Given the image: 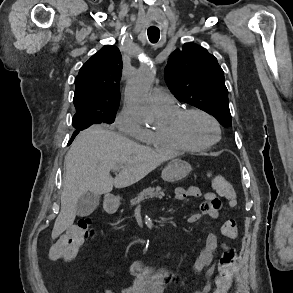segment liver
<instances>
[{"mask_svg":"<svg viewBox=\"0 0 293 293\" xmlns=\"http://www.w3.org/2000/svg\"><path fill=\"white\" fill-rule=\"evenodd\" d=\"M173 157L172 153L156 152L101 126L80 132L65 156L61 211L52 238L73 224L76 205L83 194H108L113 187L131 186ZM116 166H120L121 171L113 179L110 171Z\"/></svg>","mask_w":293,"mask_h":293,"instance_id":"1","label":"liver"}]
</instances>
